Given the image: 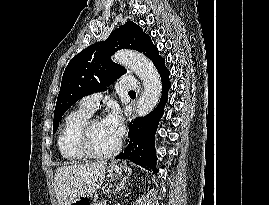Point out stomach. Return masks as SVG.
Masks as SVG:
<instances>
[{"mask_svg": "<svg viewBox=\"0 0 269 205\" xmlns=\"http://www.w3.org/2000/svg\"><path fill=\"white\" fill-rule=\"evenodd\" d=\"M122 170L126 172L128 168L126 166H118L114 163L110 164L107 167V177L112 180L119 179L122 175ZM70 205H96V203L92 195L85 194L74 199Z\"/></svg>", "mask_w": 269, "mask_h": 205, "instance_id": "stomach-1", "label": "stomach"}]
</instances>
